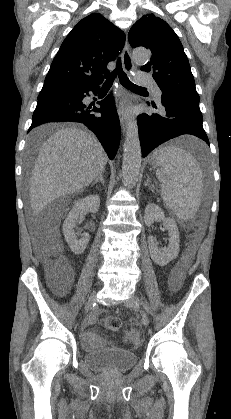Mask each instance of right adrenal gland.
I'll return each mask as SVG.
<instances>
[{"instance_id":"right-adrenal-gland-1","label":"right adrenal gland","mask_w":231,"mask_h":419,"mask_svg":"<svg viewBox=\"0 0 231 419\" xmlns=\"http://www.w3.org/2000/svg\"><path fill=\"white\" fill-rule=\"evenodd\" d=\"M103 174H104V171L99 174V176L92 183V186L95 185V184H97L98 182H101V184L104 185L105 182H104Z\"/></svg>"}]
</instances>
